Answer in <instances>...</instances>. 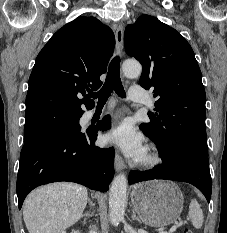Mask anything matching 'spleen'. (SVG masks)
<instances>
[{"label":"spleen","mask_w":227,"mask_h":233,"mask_svg":"<svg viewBox=\"0 0 227 233\" xmlns=\"http://www.w3.org/2000/svg\"><path fill=\"white\" fill-rule=\"evenodd\" d=\"M189 217L195 228H201L203 225V212L197 200L192 199L189 205Z\"/></svg>","instance_id":"spleen-1"}]
</instances>
